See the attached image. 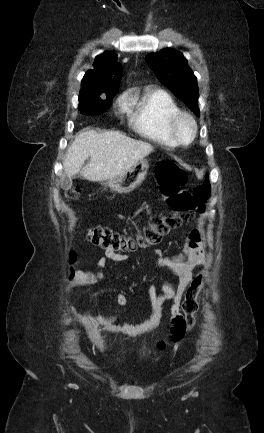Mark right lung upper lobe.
<instances>
[{
	"label": "right lung upper lobe",
	"mask_w": 264,
	"mask_h": 433,
	"mask_svg": "<svg viewBox=\"0 0 264 433\" xmlns=\"http://www.w3.org/2000/svg\"><path fill=\"white\" fill-rule=\"evenodd\" d=\"M121 78L122 66L116 62V54L105 52L96 57L93 69L84 75L79 99L115 95Z\"/></svg>",
	"instance_id": "1"
}]
</instances>
